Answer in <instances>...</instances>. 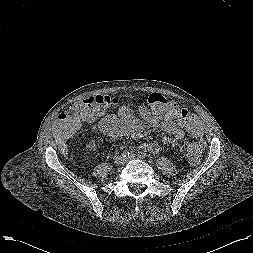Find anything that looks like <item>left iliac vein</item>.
Listing matches in <instances>:
<instances>
[{
  "instance_id": "4c4485c4",
  "label": "left iliac vein",
  "mask_w": 253,
  "mask_h": 253,
  "mask_svg": "<svg viewBox=\"0 0 253 253\" xmlns=\"http://www.w3.org/2000/svg\"><path fill=\"white\" fill-rule=\"evenodd\" d=\"M136 158L142 159L141 157H137L136 155L132 154L128 158H126L125 161L133 160V159H136Z\"/></svg>"
}]
</instances>
